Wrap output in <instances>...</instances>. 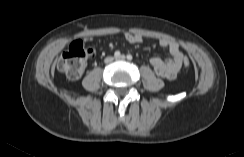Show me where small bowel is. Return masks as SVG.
<instances>
[{"label":"small bowel","instance_id":"obj_1","mask_svg":"<svg viewBox=\"0 0 244 157\" xmlns=\"http://www.w3.org/2000/svg\"><path fill=\"white\" fill-rule=\"evenodd\" d=\"M125 39L131 44L141 43L143 40L141 35L132 33H126ZM159 44L169 50L170 57L168 59L153 57L150 59V64L159 77L169 80L174 79L181 69L184 55L179 45L173 39L168 37L160 38Z\"/></svg>","mask_w":244,"mask_h":157}]
</instances>
